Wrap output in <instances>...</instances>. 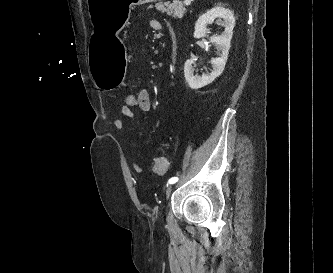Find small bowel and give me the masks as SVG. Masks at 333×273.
<instances>
[{
    "mask_svg": "<svg viewBox=\"0 0 333 273\" xmlns=\"http://www.w3.org/2000/svg\"><path fill=\"white\" fill-rule=\"evenodd\" d=\"M151 26L155 30L160 31L164 29L165 24L163 21L159 19H154L151 22ZM137 95H138V100L136 102L138 103V107L144 113H149L152 109V104L148 89L146 88L141 89ZM120 115L123 118H128L132 120H135L137 118L136 114L132 111V109H123V106L120 109ZM113 125L117 130H121L125 127V122L122 119H116ZM130 166L133 169V171L136 172L137 174L143 173V166L136 158L134 157L130 158Z\"/></svg>",
    "mask_w": 333,
    "mask_h": 273,
    "instance_id": "small-bowel-1",
    "label": "small bowel"
}]
</instances>
